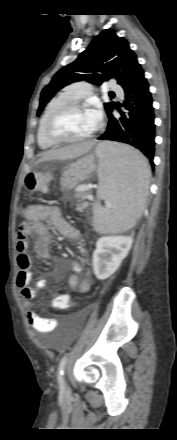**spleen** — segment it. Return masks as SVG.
<instances>
[{"mask_svg":"<svg viewBox=\"0 0 177 440\" xmlns=\"http://www.w3.org/2000/svg\"><path fill=\"white\" fill-rule=\"evenodd\" d=\"M99 158L98 198L110 202L93 207L94 227L99 233L132 228L145 208L150 167L146 158L130 146L103 142L96 147Z\"/></svg>","mask_w":177,"mask_h":440,"instance_id":"3e777b00","label":"spleen"}]
</instances>
